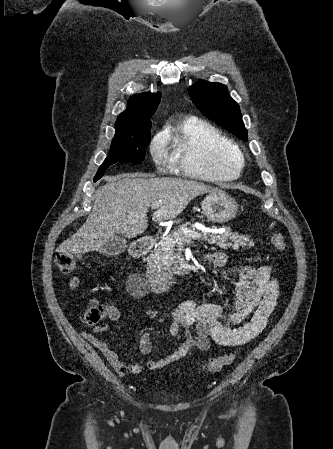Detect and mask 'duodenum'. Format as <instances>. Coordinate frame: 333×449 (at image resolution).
<instances>
[{
	"instance_id": "1",
	"label": "duodenum",
	"mask_w": 333,
	"mask_h": 449,
	"mask_svg": "<svg viewBox=\"0 0 333 449\" xmlns=\"http://www.w3.org/2000/svg\"><path fill=\"white\" fill-rule=\"evenodd\" d=\"M155 245L153 236H145L134 242L130 248V253L134 257H142L148 253ZM189 269L184 267L175 274H163L153 266H147L146 276L152 291L156 293H164L169 291L178 283V278L187 274Z\"/></svg>"
}]
</instances>
